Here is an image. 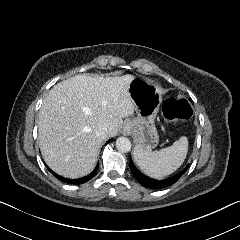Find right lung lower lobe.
<instances>
[{
	"label": "right lung lower lobe",
	"instance_id": "1",
	"mask_svg": "<svg viewBox=\"0 0 240 240\" xmlns=\"http://www.w3.org/2000/svg\"><path fill=\"white\" fill-rule=\"evenodd\" d=\"M112 139H110L107 143L111 142ZM98 167V166H97ZM97 167L87 176L85 177H82L80 179H75V180H72V179H67V178H64V177H61L59 175H57L56 173H54L52 170H50L48 168V170L57 178L59 179L60 181H63L65 183H68V184H83L85 182H87L88 180H90L91 178L94 177V175L97 173Z\"/></svg>",
	"mask_w": 240,
	"mask_h": 240
}]
</instances>
